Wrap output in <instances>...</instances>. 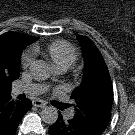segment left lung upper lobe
Returning <instances> with one entry per match:
<instances>
[{"label":"left lung upper lobe","mask_w":135,"mask_h":135,"mask_svg":"<svg viewBox=\"0 0 135 135\" xmlns=\"http://www.w3.org/2000/svg\"><path fill=\"white\" fill-rule=\"evenodd\" d=\"M85 60L83 81L71 98L75 101V115L107 125L111 118L113 88L104 59L95 44L85 36H77ZM73 106V105H72Z\"/></svg>","instance_id":"left-lung-upper-lobe-1"}]
</instances>
